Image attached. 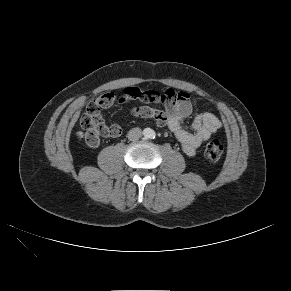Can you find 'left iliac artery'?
<instances>
[{
    "label": "left iliac artery",
    "instance_id": "44dca946",
    "mask_svg": "<svg viewBox=\"0 0 291 291\" xmlns=\"http://www.w3.org/2000/svg\"><path fill=\"white\" fill-rule=\"evenodd\" d=\"M151 138H155V133H152L151 134Z\"/></svg>",
    "mask_w": 291,
    "mask_h": 291
}]
</instances>
